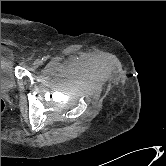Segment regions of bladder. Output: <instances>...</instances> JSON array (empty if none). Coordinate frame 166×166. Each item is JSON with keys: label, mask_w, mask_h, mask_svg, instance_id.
I'll list each match as a JSON object with an SVG mask.
<instances>
[{"label": "bladder", "mask_w": 166, "mask_h": 166, "mask_svg": "<svg viewBox=\"0 0 166 166\" xmlns=\"http://www.w3.org/2000/svg\"><path fill=\"white\" fill-rule=\"evenodd\" d=\"M15 53L12 47L1 43V92L10 91L16 84Z\"/></svg>", "instance_id": "1"}]
</instances>
